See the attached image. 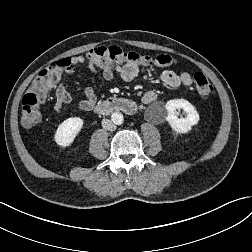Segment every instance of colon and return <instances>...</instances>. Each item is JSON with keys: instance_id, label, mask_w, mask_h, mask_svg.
<instances>
[{"instance_id": "obj_1", "label": "colon", "mask_w": 252, "mask_h": 252, "mask_svg": "<svg viewBox=\"0 0 252 252\" xmlns=\"http://www.w3.org/2000/svg\"><path fill=\"white\" fill-rule=\"evenodd\" d=\"M88 58L99 67H126L138 65L145 68L151 65L168 67L175 64L174 58L169 55H158L155 58L140 56L135 52H126L118 46L96 47L88 52ZM70 59H63L52 63L46 69L41 70L28 92L23 96L20 106L21 122L30 127L40 122L42 118L41 104L44 102L47 90L55 85L63 71L70 68ZM195 90L202 98H210L214 94V88L203 73L194 75Z\"/></svg>"}]
</instances>
